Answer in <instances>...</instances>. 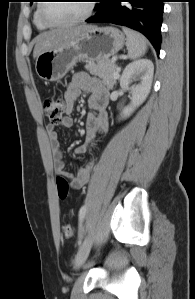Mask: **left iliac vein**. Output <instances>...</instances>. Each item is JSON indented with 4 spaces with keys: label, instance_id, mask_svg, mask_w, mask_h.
<instances>
[{
    "label": "left iliac vein",
    "instance_id": "1",
    "mask_svg": "<svg viewBox=\"0 0 195 299\" xmlns=\"http://www.w3.org/2000/svg\"><path fill=\"white\" fill-rule=\"evenodd\" d=\"M93 238L86 235L75 258V267L80 268L86 261L92 246Z\"/></svg>",
    "mask_w": 195,
    "mask_h": 299
}]
</instances>
